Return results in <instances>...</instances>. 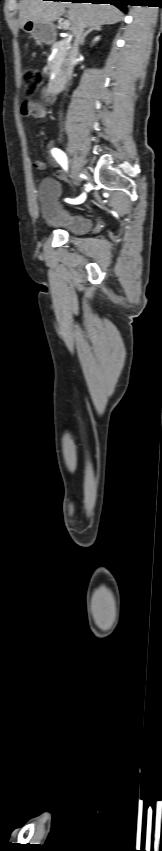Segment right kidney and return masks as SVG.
Listing matches in <instances>:
<instances>
[{"mask_svg":"<svg viewBox=\"0 0 162 851\" xmlns=\"http://www.w3.org/2000/svg\"><path fill=\"white\" fill-rule=\"evenodd\" d=\"M97 40H99V37H96V38H95V41H97Z\"/></svg>","mask_w":162,"mask_h":851,"instance_id":"ca27d5eb","label":"right kidney"}]
</instances>
